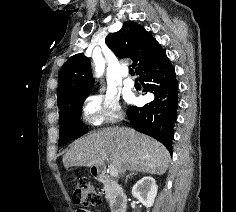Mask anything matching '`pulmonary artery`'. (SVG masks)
<instances>
[{
	"label": "pulmonary artery",
	"mask_w": 236,
	"mask_h": 212,
	"mask_svg": "<svg viewBox=\"0 0 236 212\" xmlns=\"http://www.w3.org/2000/svg\"><path fill=\"white\" fill-rule=\"evenodd\" d=\"M122 75H123V77H124V79H123V85H124L125 87H127V88H133V87H134V82H133L132 79H130V78L128 77L127 72L124 71V72L122 73Z\"/></svg>",
	"instance_id": "1"
}]
</instances>
